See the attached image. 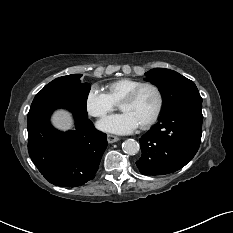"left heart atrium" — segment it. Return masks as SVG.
Returning a JSON list of instances; mask_svg holds the SVG:
<instances>
[{"instance_id": "left-heart-atrium-1", "label": "left heart atrium", "mask_w": 233, "mask_h": 233, "mask_svg": "<svg viewBox=\"0 0 233 233\" xmlns=\"http://www.w3.org/2000/svg\"><path fill=\"white\" fill-rule=\"evenodd\" d=\"M141 124L129 112L109 116L98 123L100 129L117 134H126L134 131Z\"/></svg>"}]
</instances>
